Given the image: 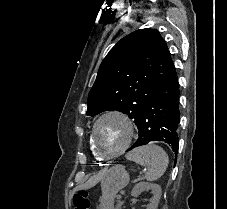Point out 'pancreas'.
Returning a JSON list of instances; mask_svg holds the SVG:
<instances>
[{
	"mask_svg": "<svg viewBox=\"0 0 227 209\" xmlns=\"http://www.w3.org/2000/svg\"><path fill=\"white\" fill-rule=\"evenodd\" d=\"M122 200L121 199H117L116 200V203H117V205H113L114 206V208L113 209H119V208H122L123 207V204H122ZM117 206V207H116Z\"/></svg>",
	"mask_w": 227,
	"mask_h": 209,
	"instance_id": "cf45deb5",
	"label": "pancreas"
}]
</instances>
